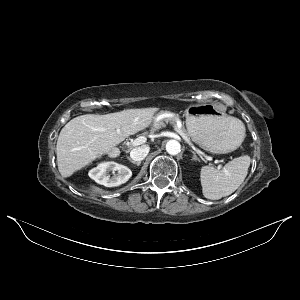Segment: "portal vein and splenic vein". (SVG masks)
Returning <instances> with one entry per match:
<instances>
[{"instance_id":"18ae733b","label":"portal vein and splenic vein","mask_w":300,"mask_h":300,"mask_svg":"<svg viewBox=\"0 0 300 300\" xmlns=\"http://www.w3.org/2000/svg\"><path fill=\"white\" fill-rule=\"evenodd\" d=\"M176 131L182 136V138L194 149V145L190 142V139L179 129H176ZM147 138L145 136H139L136 138L133 142V146H138L141 144H144L146 142Z\"/></svg>"}]
</instances>
